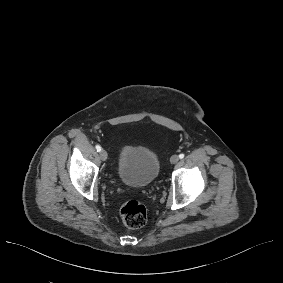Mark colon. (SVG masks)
Here are the masks:
<instances>
[{
  "label": "colon",
  "instance_id": "obj_1",
  "mask_svg": "<svg viewBox=\"0 0 283 283\" xmlns=\"http://www.w3.org/2000/svg\"><path fill=\"white\" fill-rule=\"evenodd\" d=\"M120 217L126 227L130 229L140 228L147 221V209L141 202L129 200L122 205Z\"/></svg>",
  "mask_w": 283,
  "mask_h": 283
}]
</instances>
